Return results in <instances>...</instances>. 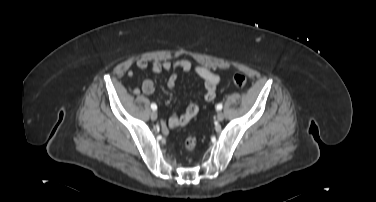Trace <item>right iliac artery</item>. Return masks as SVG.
Wrapping results in <instances>:
<instances>
[{
    "instance_id": "obj_1",
    "label": "right iliac artery",
    "mask_w": 376,
    "mask_h": 202,
    "mask_svg": "<svg viewBox=\"0 0 376 202\" xmlns=\"http://www.w3.org/2000/svg\"><path fill=\"white\" fill-rule=\"evenodd\" d=\"M151 109H152L153 111L157 110V105H156L155 103H152V104H151Z\"/></svg>"
}]
</instances>
